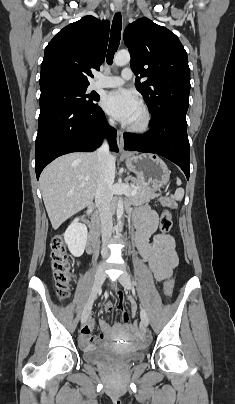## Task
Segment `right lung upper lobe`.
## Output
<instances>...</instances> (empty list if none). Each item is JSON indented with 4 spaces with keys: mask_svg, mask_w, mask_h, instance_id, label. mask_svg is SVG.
Returning <instances> with one entry per match:
<instances>
[{
    "mask_svg": "<svg viewBox=\"0 0 235 404\" xmlns=\"http://www.w3.org/2000/svg\"><path fill=\"white\" fill-rule=\"evenodd\" d=\"M110 24L88 15L64 27L45 48L40 85L68 82L89 85L91 69L105 59Z\"/></svg>",
    "mask_w": 235,
    "mask_h": 404,
    "instance_id": "1",
    "label": "right lung upper lobe"
}]
</instances>
